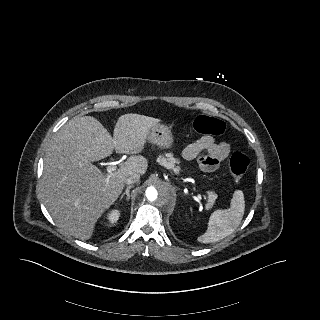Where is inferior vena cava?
Segmentation results:
<instances>
[{
	"label": "inferior vena cava",
	"mask_w": 320,
	"mask_h": 320,
	"mask_svg": "<svg viewBox=\"0 0 320 320\" xmlns=\"http://www.w3.org/2000/svg\"><path fill=\"white\" fill-rule=\"evenodd\" d=\"M139 178H140L139 174L133 173L125 178V183L128 185L137 183L139 181Z\"/></svg>",
	"instance_id": "602c4592"
}]
</instances>
